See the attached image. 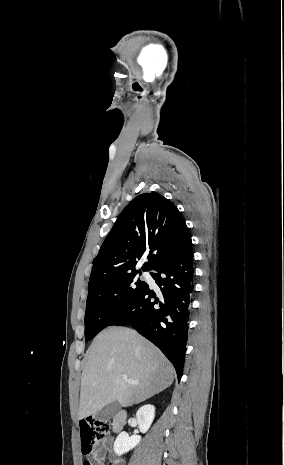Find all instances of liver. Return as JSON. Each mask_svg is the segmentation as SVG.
I'll return each mask as SVG.
<instances>
[{"mask_svg":"<svg viewBox=\"0 0 284 465\" xmlns=\"http://www.w3.org/2000/svg\"><path fill=\"white\" fill-rule=\"evenodd\" d=\"M127 375L136 383L123 381ZM174 369L163 353L126 327H108L95 337L82 371L78 419L95 415L118 401L121 407L142 403L170 387Z\"/></svg>","mask_w":284,"mask_h":465,"instance_id":"liver-1","label":"liver"}]
</instances>
